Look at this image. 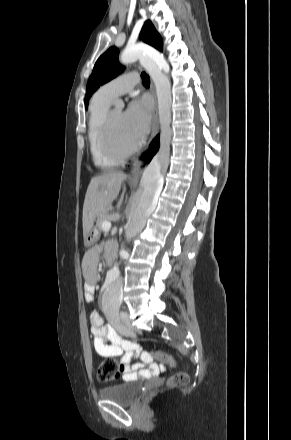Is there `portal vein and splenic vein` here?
<instances>
[{"label":"portal vein and splenic vein","mask_w":291,"mask_h":440,"mask_svg":"<svg viewBox=\"0 0 291 440\" xmlns=\"http://www.w3.org/2000/svg\"><path fill=\"white\" fill-rule=\"evenodd\" d=\"M110 229H111V222L108 221V220H105V221L102 223V230L105 231V232H107V231H109Z\"/></svg>","instance_id":"1"}]
</instances>
